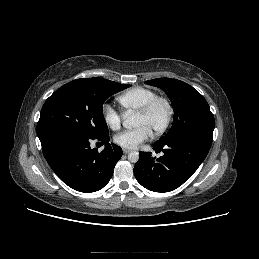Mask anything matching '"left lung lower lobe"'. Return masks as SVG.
Instances as JSON below:
<instances>
[{
	"mask_svg": "<svg viewBox=\"0 0 259 259\" xmlns=\"http://www.w3.org/2000/svg\"><path fill=\"white\" fill-rule=\"evenodd\" d=\"M212 141L186 135L157 141L153 149L163 156L155 159L150 152H140L134 167L137 181L154 192H169L186 182L207 156Z\"/></svg>",
	"mask_w": 259,
	"mask_h": 259,
	"instance_id": "left-lung-lower-lobe-1",
	"label": "left lung lower lobe"
}]
</instances>
